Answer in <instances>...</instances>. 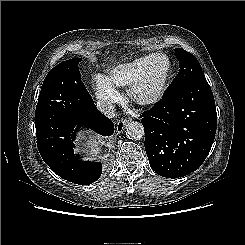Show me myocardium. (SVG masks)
<instances>
[{
    "mask_svg": "<svg viewBox=\"0 0 245 245\" xmlns=\"http://www.w3.org/2000/svg\"><path fill=\"white\" fill-rule=\"evenodd\" d=\"M157 57L165 59L166 61L165 71L155 91L146 95L143 93V89L148 73L149 64L152 59ZM171 69H172L171 62L168 56H166L165 54L153 53L149 55L140 73L138 74L136 79L132 82V84L129 86V96L131 100L138 106H152L158 103L161 100V98L164 96L166 89L168 87L170 77H171Z\"/></svg>",
    "mask_w": 245,
    "mask_h": 245,
    "instance_id": "f54148a6",
    "label": "myocardium"
}]
</instances>
